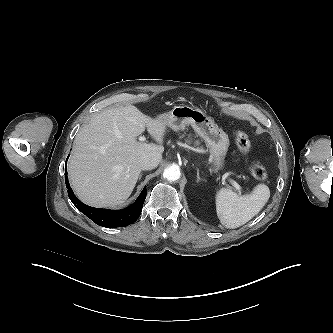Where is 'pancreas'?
Returning <instances> with one entry per match:
<instances>
[{
    "label": "pancreas",
    "instance_id": "1",
    "mask_svg": "<svg viewBox=\"0 0 333 333\" xmlns=\"http://www.w3.org/2000/svg\"><path fill=\"white\" fill-rule=\"evenodd\" d=\"M183 137H185V135L184 134H182L181 136H180V138H183ZM185 141L187 142V143H192L193 142V137H192V135L191 134H188V136H187V138L185 139ZM200 144V142L197 140V141H194V145L195 146H197V145H199Z\"/></svg>",
    "mask_w": 333,
    "mask_h": 333
}]
</instances>
